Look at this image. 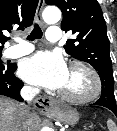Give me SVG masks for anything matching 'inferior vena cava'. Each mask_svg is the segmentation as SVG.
<instances>
[{"instance_id": "inferior-vena-cava-1", "label": "inferior vena cava", "mask_w": 117, "mask_h": 131, "mask_svg": "<svg viewBox=\"0 0 117 131\" xmlns=\"http://www.w3.org/2000/svg\"><path fill=\"white\" fill-rule=\"evenodd\" d=\"M39 88L24 86L21 89V96L26 102H30L39 93ZM30 116V108L26 104H20V122L17 127V131H22L26 127L27 119Z\"/></svg>"}]
</instances>
